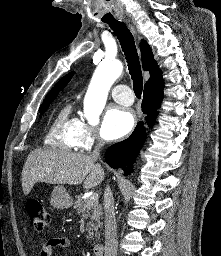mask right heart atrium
Segmentation results:
<instances>
[{"instance_id": "right-heart-atrium-1", "label": "right heart atrium", "mask_w": 221, "mask_h": 256, "mask_svg": "<svg viewBox=\"0 0 221 256\" xmlns=\"http://www.w3.org/2000/svg\"><path fill=\"white\" fill-rule=\"evenodd\" d=\"M74 139L76 147L82 150H90L102 143L98 131L82 119L76 120Z\"/></svg>"}]
</instances>
